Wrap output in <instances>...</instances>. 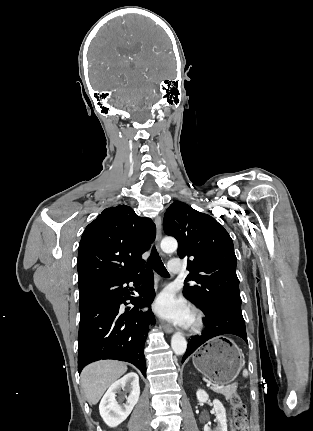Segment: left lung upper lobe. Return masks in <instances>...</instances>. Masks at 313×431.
I'll use <instances>...</instances> for the list:
<instances>
[{
	"label": "left lung upper lobe",
	"instance_id": "left-lung-upper-lobe-1",
	"mask_svg": "<svg viewBox=\"0 0 313 431\" xmlns=\"http://www.w3.org/2000/svg\"><path fill=\"white\" fill-rule=\"evenodd\" d=\"M164 231L178 241V255L189 258L183 295L201 310L218 305L241 306L234 245L213 217L183 202L167 209Z\"/></svg>",
	"mask_w": 313,
	"mask_h": 431
}]
</instances>
